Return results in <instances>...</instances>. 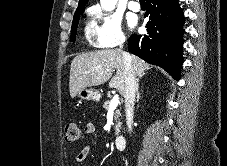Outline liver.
Instances as JSON below:
<instances>
[{
    "label": "liver",
    "mask_w": 227,
    "mask_h": 166,
    "mask_svg": "<svg viewBox=\"0 0 227 166\" xmlns=\"http://www.w3.org/2000/svg\"><path fill=\"white\" fill-rule=\"evenodd\" d=\"M130 57L135 76H143L150 65L137 56ZM115 69L116 74L112 77ZM110 78L109 87L117 89L124 96L125 75L121 50L104 49L79 54L71 62L70 96L74 98L82 89L102 85Z\"/></svg>",
    "instance_id": "liver-1"
}]
</instances>
